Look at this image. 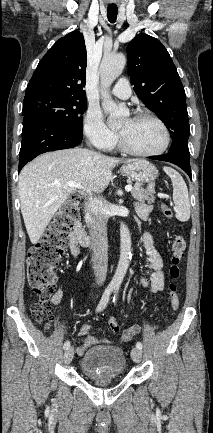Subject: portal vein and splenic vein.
I'll list each match as a JSON object with an SVG mask.
<instances>
[{
	"label": "portal vein and splenic vein",
	"mask_w": 213,
	"mask_h": 433,
	"mask_svg": "<svg viewBox=\"0 0 213 433\" xmlns=\"http://www.w3.org/2000/svg\"><path fill=\"white\" fill-rule=\"evenodd\" d=\"M56 185H57V186H61V184H59V183H56ZM63 187H65V188H77V189H80V190L85 191V189L83 188V186H82L81 184H77V183H75V182H73V181H69V182H67L66 184L63 185ZM132 189H133V188H132L131 185H127V186L125 187V190H126L127 192L132 191Z\"/></svg>",
	"instance_id": "1"
}]
</instances>
